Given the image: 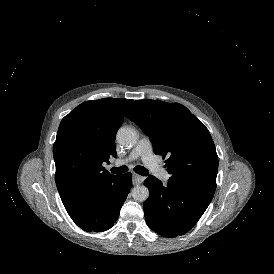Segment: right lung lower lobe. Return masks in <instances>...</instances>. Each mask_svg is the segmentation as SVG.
I'll use <instances>...</instances> for the list:
<instances>
[{
    "mask_svg": "<svg viewBox=\"0 0 274 274\" xmlns=\"http://www.w3.org/2000/svg\"><path fill=\"white\" fill-rule=\"evenodd\" d=\"M132 187V174L117 175L98 187L82 202L66 208L72 220L85 231L110 229Z\"/></svg>",
    "mask_w": 274,
    "mask_h": 274,
    "instance_id": "98d812e1",
    "label": "right lung lower lobe"
}]
</instances>
